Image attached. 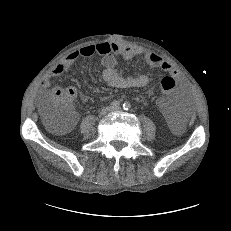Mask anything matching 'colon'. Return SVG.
<instances>
[{
  "label": "colon",
  "mask_w": 231,
  "mask_h": 231,
  "mask_svg": "<svg viewBox=\"0 0 231 231\" xmlns=\"http://www.w3.org/2000/svg\"><path fill=\"white\" fill-rule=\"evenodd\" d=\"M159 89L163 95L169 96L175 92L176 80L170 74L163 75L159 80ZM75 96L72 88L57 89L49 96L44 109L43 116L46 125L54 131L68 129L74 118L75 113L71 108V101Z\"/></svg>",
  "instance_id": "5ec220e1"
}]
</instances>
